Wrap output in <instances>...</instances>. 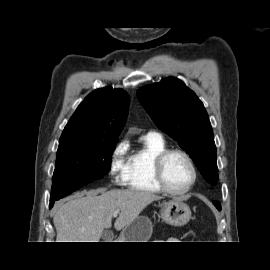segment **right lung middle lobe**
<instances>
[{
  "instance_id": "right-lung-middle-lobe-1",
  "label": "right lung middle lobe",
  "mask_w": 270,
  "mask_h": 270,
  "mask_svg": "<svg viewBox=\"0 0 270 270\" xmlns=\"http://www.w3.org/2000/svg\"><path fill=\"white\" fill-rule=\"evenodd\" d=\"M116 142L60 139L50 201L104 176L110 170Z\"/></svg>"
}]
</instances>
